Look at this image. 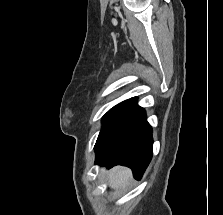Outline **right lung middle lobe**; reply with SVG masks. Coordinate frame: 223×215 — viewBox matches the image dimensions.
<instances>
[{"mask_svg": "<svg viewBox=\"0 0 223 215\" xmlns=\"http://www.w3.org/2000/svg\"><path fill=\"white\" fill-rule=\"evenodd\" d=\"M137 105V98L133 97L128 99L119 105L111 108L102 118V129L99 133L95 144V150L99 145L108 137V135L114 130V128L129 115Z\"/></svg>", "mask_w": 223, "mask_h": 215, "instance_id": "1", "label": "right lung middle lobe"}]
</instances>
